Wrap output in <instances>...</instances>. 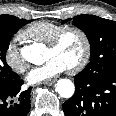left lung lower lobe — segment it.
Instances as JSON below:
<instances>
[{"mask_svg": "<svg viewBox=\"0 0 116 116\" xmlns=\"http://www.w3.org/2000/svg\"><path fill=\"white\" fill-rule=\"evenodd\" d=\"M75 93L63 104L66 116H116V73L74 76Z\"/></svg>", "mask_w": 116, "mask_h": 116, "instance_id": "obj_1", "label": "left lung lower lobe"}]
</instances>
